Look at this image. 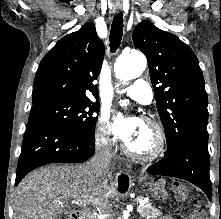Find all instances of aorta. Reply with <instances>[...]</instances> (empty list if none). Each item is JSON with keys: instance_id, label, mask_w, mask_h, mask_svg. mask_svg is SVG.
I'll return each instance as SVG.
<instances>
[{"instance_id": "obj_1", "label": "aorta", "mask_w": 221, "mask_h": 219, "mask_svg": "<svg viewBox=\"0 0 221 219\" xmlns=\"http://www.w3.org/2000/svg\"><path fill=\"white\" fill-rule=\"evenodd\" d=\"M145 68L146 58L144 55L139 53L122 54L117 58L114 64L116 77L123 81L139 77Z\"/></svg>"}]
</instances>
